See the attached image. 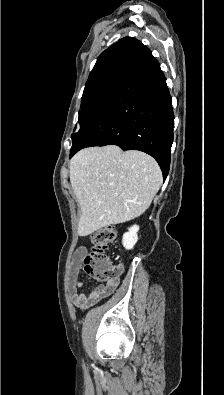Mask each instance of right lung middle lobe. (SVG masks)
I'll return each mask as SVG.
<instances>
[{
    "label": "right lung middle lobe",
    "instance_id": "obj_1",
    "mask_svg": "<svg viewBox=\"0 0 224 395\" xmlns=\"http://www.w3.org/2000/svg\"><path fill=\"white\" fill-rule=\"evenodd\" d=\"M119 73L120 70H115L86 83L79 112L77 133L72 134V145L82 133L92 114L111 90Z\"/></svg>",
    "mask_w": 224,
    "mask_h": 395
}]
</instances>
